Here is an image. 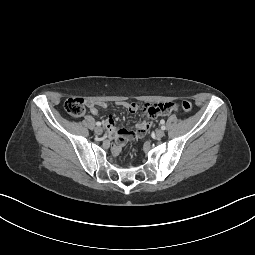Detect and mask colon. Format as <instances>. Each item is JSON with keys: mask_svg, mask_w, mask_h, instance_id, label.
Instances as JSON below:
<instances>
[{"mask_svg": "<svg viewBox=\"0 0 255 255\" xmlns=\"http://www.w3.org/2000/svg\"><path fill=\"white\" fill-rule=\"evenodd\" d=\"M180 108L185 112H190L192 110V103L188 100H183L180 102ZM65 109L74 118L82 117L86 111L85 101L79 97H71L66 100Z\"/></svg>", "mask_w": 255, "mask_h": 255, "instance_id": "5ec220e1", "label": "colon"}]
</instances>
